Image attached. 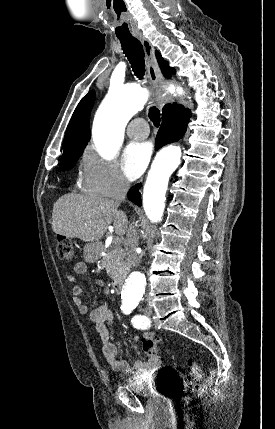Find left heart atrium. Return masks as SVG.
<instances>
[{
	"instance_id": "39dd6f15",
	"label": "left heart atrium",
	"mask_w": 275,
	"mask_h": 429,
	"mask_svg": "<svg viewBox=\"0 0 275 429\" xmlns=\"http://www.w3.org/2000/svg\"><path fill=\"white\" fill-rule=\"evenodd\" d=\"M151 156V145L147 142H132L122 156V169L126 177L135 180L146 169Z\"/></svg>"
}]
</instances>
